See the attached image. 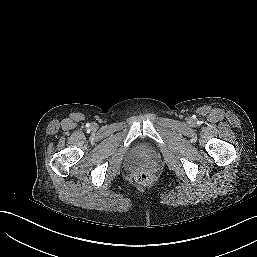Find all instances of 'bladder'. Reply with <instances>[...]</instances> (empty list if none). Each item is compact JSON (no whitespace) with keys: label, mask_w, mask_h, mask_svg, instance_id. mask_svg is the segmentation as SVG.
Instances as JSON below:
<instances>
[{"label":"bladder","mask_w":257,"mask_h":257,"mask_svg":"<svg viewBox=\"0 0 257 257\" xmlns=\"http://www.w3.org/2000/svg\"><path fill=\"white\" fill-rule=\"evenodd\" d=\"M131 153L134 159L152 158L154 149L149 143L139 141L133 146Z\"/></svg>","instance_id":"bladder-1"}]
</instances>
